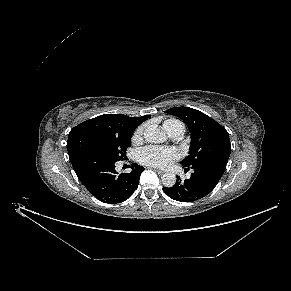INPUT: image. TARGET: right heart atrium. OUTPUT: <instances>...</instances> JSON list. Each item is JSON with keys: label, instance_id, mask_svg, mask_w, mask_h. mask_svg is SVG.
I'll return each instance as SVG.
<instances>
[{"label": "right heart atrium", "instance_id": "right-heart-atrium-1", "mask_svg": "<svg viewBox=\"0 0 291 291\" xmlns=\"http://www.w3.org/2000/svg\"><path fill=\"white\" fill-rule=\"evenodd\" d=\"M142 135H143V127L137 128L132 135V142L139 143L142 139Z\"/></svg>", "mask_w": 291, "mask_h": 291}]
</instances>
